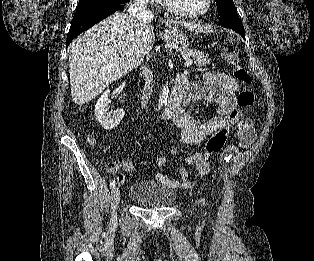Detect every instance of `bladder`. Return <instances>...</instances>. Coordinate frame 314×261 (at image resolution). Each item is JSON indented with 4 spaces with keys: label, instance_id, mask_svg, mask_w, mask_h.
<instances>
[{
    "label": "bladder",
    "instance_id": "31cf9c89",
    "mask_svg": "<svg viewBox=\"0 0 314 261\" xmlns=\"http://www.w3.org/2000/svg\"><path fill=\"white\" fill-rule=\"evenodd\" d=\"M129 199L143 208L162 209L175 202L176 193L158 181H142L131 186Z\"/></svg>",
    "mask_w": 314,
    "mask_h": 261
}]
</instances>
